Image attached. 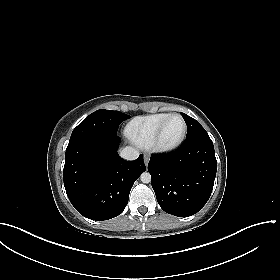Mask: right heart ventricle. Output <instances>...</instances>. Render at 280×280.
Masks as SVG:
<instances>
[{
    "label": "right heart ventricle",
    "mask_w": 280,
    "mask_h": 280,
    "mask_svg": "<svg viewBox=\"0 0 280 280\" xmlns=\"http://www.w3.org/2000/svg\"><path fill=\"white\" fill-rule=\"evenodd\" d=\"M169 113H155L134 118L127 126L131 139L142 147L150 146L159 125Z\"/></svg>",
    "instance_id": "obj_1"
}]
</instances>
